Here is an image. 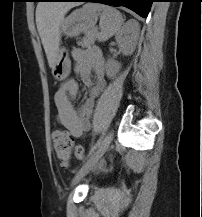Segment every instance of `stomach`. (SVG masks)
Returning a JSON list of instances; mask_svg holds the SVG:
<instances>
[{"instance_id":"0dacf381","label":"stomach","mask_w":202,"mask_h":217,"mask_svg":"<svg viewBox=\"0 0 202 217\" xmlns=\"http://www.w3.org/2000/svg\"><path fill=\"white\" fill-rule=\"evenodd\" d=\"M98 13L96 10L84 6L73 11L60 24V33L73 37L81 32L91 30L97 23ZM71 70V63L66 48L61 47L57 53V60L52 68V74L57 80L66 79Z\"/></svg>"}]
</instances>
